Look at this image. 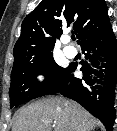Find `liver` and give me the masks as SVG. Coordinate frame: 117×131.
<instances>
[{
    "label": "liver",
    "mask_w": 117,
    "mask_h": 131,
    "mask_svg": "<svg viewBox=\"0 0 117 131\" xmlns=\"http://www.w3.org/2000/svg\"><path fill=\"white\" fill-rule=\"evenodd\" d=\"M91 131L97 122L78 103L63 98L38 100L20 109L12 131Z\"/></svg>",
    "instance_id": "1"
}]
</instances>
